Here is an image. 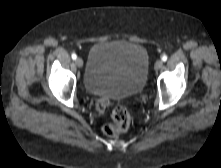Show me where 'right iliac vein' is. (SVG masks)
I'll use <instances>...</instances> for the list:
<instances>
[{
	"label": "right iliac vein",
	"mask_w": 221,
	"mask_h": 168,
	"mask_svg": "<svg viewBox=\"0 0 221 168\" xmlns=\"http://www.w3.org/2000/svg\"><path fill=\"white\" fill-rule=\"evenodd\" d=\"M77 67L81 68L83 66V60L81 58H77L75 60Z\"/></svg>",
	"instance_id": "obj_1"
}]
</instances>
